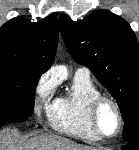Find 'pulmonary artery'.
Here are the masks:
<instances>
[{
    "label": "pulmonary artery",
    "mask_w": 139,
    "mask_h": 150,
    "mask_svg": "<svg viewBox=\"0 0 139 150\" xmlns=\"http://www.w3.org/2000/svg\"><path fill=\"white\" fill-rule=\"evenodd\" d=\"M75 75H83V76H89L90 75V72L87 68L85 67H80V68H77L76 71H75Z\"/></svg>",
    "instance_id": "obj_1"
}]
</instances>
